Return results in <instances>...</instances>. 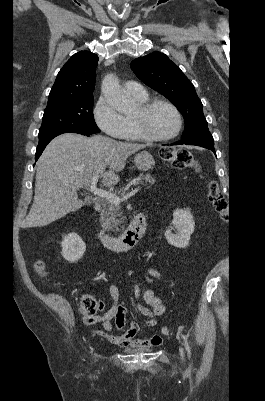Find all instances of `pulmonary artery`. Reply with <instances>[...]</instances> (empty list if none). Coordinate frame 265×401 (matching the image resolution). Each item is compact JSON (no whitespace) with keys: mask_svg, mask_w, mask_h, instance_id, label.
Instances as JSON below:
<instances>
[{"mask_svg":"<svg viewBox=\"0 0 265 401\" xmlns=\"http://www.w3.org/2000/svg\"><path fill=\"white\" fill-rule=\"evenodd\" d=\"M123 89L127 94L130 95H144L145 90L139 85L131 82H124Z\"/></svg>","mask_w":265,"mask_h":401,"instance_id":"obj_1","label":"pulmonary artery"}]
</instances>
